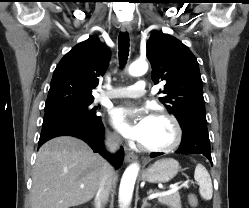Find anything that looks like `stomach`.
Listing matches in <instances>:
<instances>
[{"mask_svg":"<svg viewBox=\"0 0 249 208\" xmlns=\"http://www.w3.org/2000/svg\"><path fill=\"white\" fill-rule=\"evenodd\" d=\"M180 169L173 158H164L149 166L142 174V179L149 183H166L173 179Z\"/></svg>","mask_w":249,"mask_h":208,"instance_id":"0dacf381","label":"stomach"}]
</instances>
